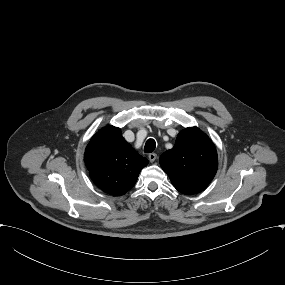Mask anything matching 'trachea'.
<instances>
[{"label": "trachea", "instance_id": "3493384b", "mask_svg": "<svg viewBox=\"0 0 285 285\" xmlns=\"http://www.w3.org/2000/svg\"><path fill=\"white\" fill-rule=\"evenodd\" d=\"M156 142L154 139H148L145 143L144 151L145 153H151L155 150Z\"/></svg>", "mask_w": 285, "mask_h": 285}]
</instances>
